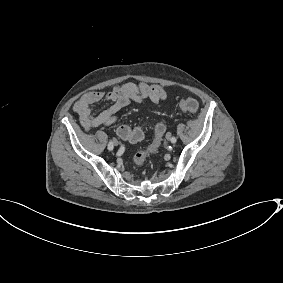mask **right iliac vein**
Wrapping results in <instances>:
<instances>
[{"label": "right iliac vein", "instance_id": "1", "mask_svg": "<svg viewBox=\"0 0 283 283\" xmlns=\"http://www.w3.org/2000/svg\"><path fill=\"white\" fill-rule=\"evenodd\" d=\"M113 144H114L115 146H118V144H119L118 140H117V139H114V140H113Z\"/></svg>", "mask_w": 283, "mask_h": 283}]
</instances>
